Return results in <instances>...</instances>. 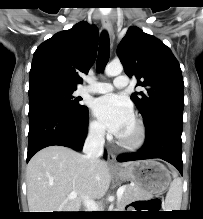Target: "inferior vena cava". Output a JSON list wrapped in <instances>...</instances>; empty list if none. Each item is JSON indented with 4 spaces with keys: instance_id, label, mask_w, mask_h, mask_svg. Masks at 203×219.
<instances>
[{
    "instance_id": "1",
    "label": "inferior vena cava",
    "mask_w": 203,
    "mask_h": 219,
    "mask_svg": "<svg viewBox=\"0 0 203 219\" xmlns=\"http://www.w3.org/2000/svg\"><path fill=\"white\" fill-rule=\"evenodd\" d=\"M105 129L104 127L95 128L86 138L83 146V153L94 166L104 152Z\"/></svg>"
}]
</instances>
